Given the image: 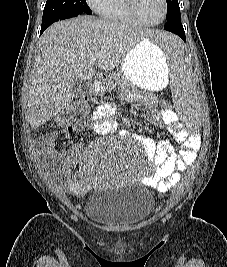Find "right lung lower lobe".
Here are the masks:
<instances>
[{
  "instance_id": "right-lung-lower-lobe-1",
  "label": "right lung lower lobe",
  "mask_w": 227,
  "mask_h": 267,
  "mask_svg": "<svg viewBox=\"0 0 227 267\" xmlns=\"http://www.w3.org/2000/svg\"><path fill=\"white\" fill-rule=\"evenodd\" d=\"M75 17V16H74ZM71 18V17H70ZM58 20H62V19H47V20H43L42 21V26H41V31L40 34L43 33V31L45 29H47L52 23L58 21Z\"/></svg>"
}]
</instances>
